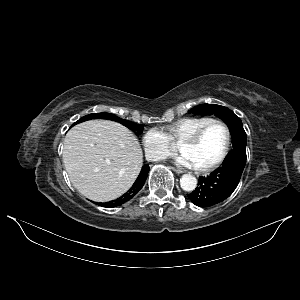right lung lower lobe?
<instances>
[{"label":"right lung lower lobe","instance_id":"98d812e1","mask_svg":"<svg viewBox=\"0 0 300 300\" xmlns=\"http://www.w3.org/2000/svg\"><path fill=\"white\" fill-rule=\"evenodd\" d=\"M149 172V166L148 165H144L142 167V170L137 178V180L135 181V183L133 184V186L128 190V192H126L124 195H122L121 197L117 198L116 200L110 201V202H106V203H97L100 206L103 207H116L119 205H122L123 203L129 201L130 199H132L143 187L147 175Z\"/></svg>","mask_w":300,"mask_h":300}]
</instances>
